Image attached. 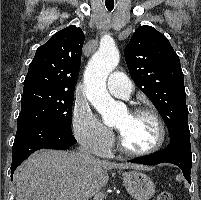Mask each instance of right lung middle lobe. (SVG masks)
Listing matches in <instances>:
<instances>
[{
	"mask_svg": "<svg viewBox=\"0 0 201 200\" xmlns=\"http://www.w3.org/2000/svg\"><path fill=\"white\" fill-rule=\"evenodd\" d=\"M74 94L37 90L23 93L17 125L31 121H47L71 130Z\"/></svg>",
	"mask_w": 201,
	"mask_h": 200,
	"instance_id": "right-lung-middle-lobe-1",
	"label": "right lung middle lobe"
}]
</instances>
